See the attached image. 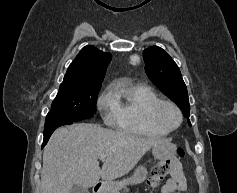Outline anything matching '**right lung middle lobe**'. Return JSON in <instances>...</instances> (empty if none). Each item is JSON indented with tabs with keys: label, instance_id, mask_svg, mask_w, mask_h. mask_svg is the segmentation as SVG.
Listing matches in <instances>:
<instances>
[{
	"label": "right lung middle lobe",
	"instance_id": "obj_1",
	"mask_svg": "<svg viewBox=\"0 0 237 193\" xmlns=\"http://www.w3.org/2000/svg\"><path fill=\"white\" fill-rule=\"evenodd\" d=\"M101 86L61 83L48 116L71 121L91 118L96 113V101Z\"/></svg>",
	"mask_w": 237,
	"mask_h": 193
}]
</instances>
